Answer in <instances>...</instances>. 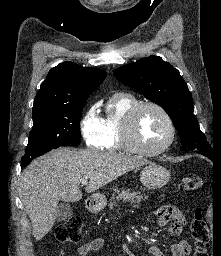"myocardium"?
I'll use <instances>...</instances> for the list:
<instances>
[{"label":"myocardium","instance_id":"obj_1","mask_svg":"<svg viewBox=\"0 0 221 256\" xmlns=\"http://www.w3.org/2000/svg\"><path fill=\"white\" fill-rule=\"evenodd\" d=\"M151 107L158 110L165 118L169 134L167 140L157 148H148L142 145L137 136V119L141 111ZM176 127L170 113L159 103L154 101H142L133 106L127 113L122 129V138L125 145L132 151L144 156H156L167 151L175 141Z\"/></svg>","mask_w":221,"mask_h":256}]
</instances>
